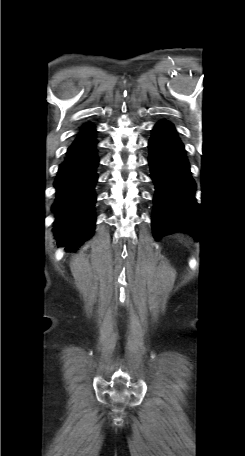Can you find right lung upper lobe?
<instances>
[{"label":"right lung upper lobe","mask_w":245,"mask_h":456,"mask_svg":"<svg viewBox=\"0 0 245 456\" xmlns=\"http://www.w3.org/2000/svg\"><path fill=\"white\" fill-rule=\"evenodd\" d=\"M94 133H95V128L91 125H86L82 128V131L80 132L78 137L75 139L74 143L90 139L94 136Z\"/></svg>","instance_id":"obj_1"}]
</instances>
